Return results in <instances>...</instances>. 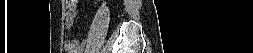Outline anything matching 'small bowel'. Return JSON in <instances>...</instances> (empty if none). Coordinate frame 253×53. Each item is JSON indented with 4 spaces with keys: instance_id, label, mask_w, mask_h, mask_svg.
Listing matches in <instances>:
<instances>
[{
    "instance_id": "c3829d8e",
    "label": "small bowel",
    "mask_w": 253,
    "mask_h": 53,
    "mask_svg": "<svg viewBox=\"0 0 253 53\" xmlns=\"http://www.w3.org/2000/svg\"><path fill=\"white\" fill-rule=\"evenodd\" d=\"M71 4H75L77 1L71 0ZM73 24V16L68 14L66 17V28L71 29ZM65 49L70 53H81L83 50V43L77 39H70L65 41Z\"/></svg>"
}]
</instances>
